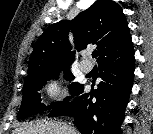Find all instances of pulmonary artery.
Listing matches in <instances>:
<instances>
[{"label": "pulmonary artery", "instance_id": "1", "mask_svg": "<svg viewBox=\"0 0 153 134\" xmlns=\"http://www.w3.org/2000/svg\"><path fill=\"white\" fill-rule=\"evenodd\" d=\"M80 66L85 72H90L93 69V63L88 59H83L80 63Z\"/></svg>", "mask_w": 153, "mask_h": 134}]
</instances>
